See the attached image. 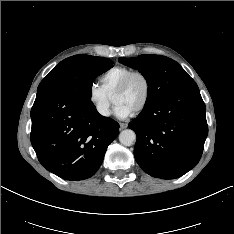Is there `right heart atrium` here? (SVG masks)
Wrapping results in <instances>:
<instances>
[{
	"mask_svg": "<svg viewBox=\"0 0 234 234\" xmlns=\"http://www.w3.org/2000/svg\"><path fill=\"white\" fill-rule=\"evenodd\" d=\"M87 98L99 116L103 118L110 116L111 98L98 84L93 83L88 87Z\"/></svg>",
	"mask_w": 234,
	"mask_h": 234,
	"instance_id": "d8ad5b80",
	"label": "right heart atrium"
}]
</instances>
